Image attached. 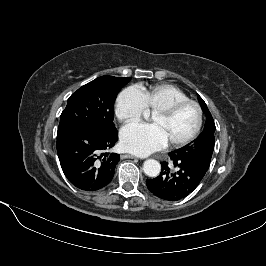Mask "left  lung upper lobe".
Listing matches in <instances>:
<instances>
[{
  "mask_svg": "<svg viewBox=\"0 0 266 266\" xmlns=\"http://www.w3.org/2000/svg\"><path fill=\"white\" fill-rule=\"evenodd\" d=\"M198 100L203 112L206 114L204 130L200 136L190 144L172 153L177 155L180 160L189 163L202 174H205L209 168L214 150L215 123L206 103L199 95Z\"/></svg>",
  "mask_w": 266,
  "mask_h": 266,
  "instance_id": "left-lung-upper-lobe-1",
  "label": "left lung upper lobe"
}]
</instances>
